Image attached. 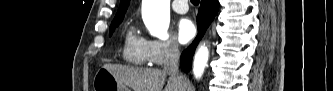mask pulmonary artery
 <instances>
[{
    "label": "pulmonary artery",
    "mask_w": 333,
    "mask_h": 91,
    "mask_svg": "<svg viewBox=\"0 0 333 91\" xmlns=\"http://www.w3.org/2000/svg\"><path fill=\"white\" fill-rule=\"evenodd\" d=\"M172 8L178 14H185L188 12V4L186 0L173 1Z\"/></svg>",
    "instance_id": "1"
}]
</instances>
